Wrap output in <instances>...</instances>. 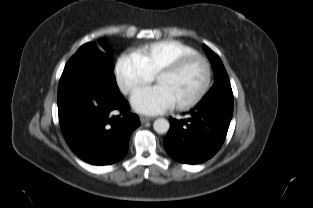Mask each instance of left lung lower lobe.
<instances>
[{
    "instance_id": "0a47b994",
    "label": "left lung lower lobe",
    "mask_w": 313,
    "mask_h": 208,
    "mask_svg": "<svg viewBox=\"0 0 313 208\" xmlns=\"http://www.w3.org/2000/svg\"><path fill=\"white\" fill-rule=\"evenodd\" d=\"M233 94L217 93L189 111L188 119L169 118L170 129L163 140L167 153L181 163L199 164L222 146L233 114Z\"/></svg>"
}]
</instances>
